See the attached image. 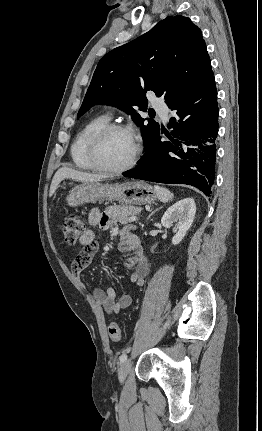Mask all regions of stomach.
I'll return each mask as SVG.
<instances>
[{"label":"stomach","instance_id":"0dacf381","mask_svg":"<svg viewBox=\"0 0 262 431\" xmlns=\"http://www.w3.org/2000/svg\"><path fill=\"white\" fill-rule=\"evenodd\" d=\"M157 198L154 189L143 181L116 184L85 182L75 186L66 200L70 207L99 201H119L126 205H143Z\"/></svg>","mask_w":262,"mask_h":431}]
</instances>
